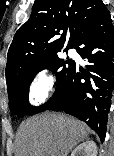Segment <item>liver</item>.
Returning <instances> with one entry per match:
<instances>
[{"label":"liver","mask_w":114,"mask_h":156,"mask_svg":"<svg viewBox=\"0 0 114 156\" xmlns=\"http://www.w3.org/2000/svg\"><path fill=\"white\" fill-rule=\"evenodd\" d=\"M89 132L85 123L64 114L36 115L20 125L15 156H68Z\"/></svg>","instance_id":"obj_1"}]
</instances>
